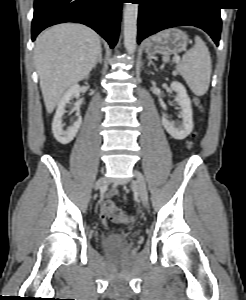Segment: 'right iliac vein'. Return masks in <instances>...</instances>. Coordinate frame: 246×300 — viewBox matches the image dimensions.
I'll use <instances>...</instances> for the list:
<instances>
[{
    "mask_svg": "<svg viewBox=\"0 0 246 300\" xmlns=\"http://www.w3.org/2000/svg\"><path fill=\"white\" fill-rule=\"evenodd\" d=\"M103 182H104V178H100V179L98 180V182H97V186L102 185Z\"/></svg>",
    "mask_w": 246,
    "mask_h": 300,
    "instance_id": "1",
    "label": "right iliac vein"
}]
</instances>
